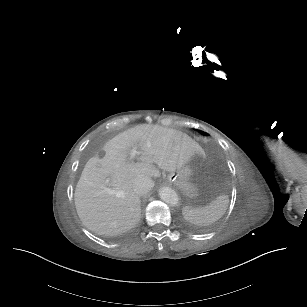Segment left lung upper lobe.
I'll use <instances>...</instances> for the list:
<instances>
[{"instance_id":"1","label":"left lung upper lobe","mask_w":307,"mask_h":307,"mask_svg":"<svg viewBox=\"0 0 307 307\" xmlns=\"http://www.w3.org/2000/svg\"><path fill=\"white\" fill-rule=\"evenodd\" d=\"M203 135H207L206 133L202 132Z\"/></svg>"}]
</instances>
